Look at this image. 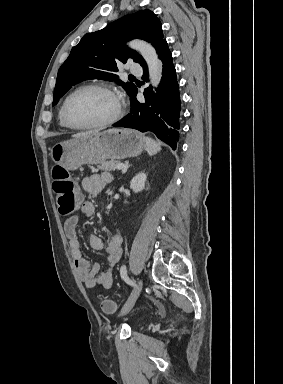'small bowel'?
<instances>
[{
	"mask_svg": "<svg viewBox=\"0 0 283 384\" xmlns=\"http://www.w3.org/2000/svg\"><path fill=\"white\" fill-rule=\"evenodd\" d=\"M112 177L108 173L92 174L82 179V188L89 194H98L109 184ZM81 213L84 217L90 218L94 213V204L85 201L81 204ZM78 216L73 215L64 222V232L68 238L71 256L77 269L80 280L87 288L109 289L113 285L112 267L115 266L122 257V235L117 230L108 243L97 235H89V244L94 250L104 251L107 255V266L105 270L97 263H92L82 255L80 240L77 233Z\"/></svg>",
	"mask_w": 283,
	"mask_h": 384,
	"instance_id": "1",
	"label": "small bowel"
}]
</instances>
